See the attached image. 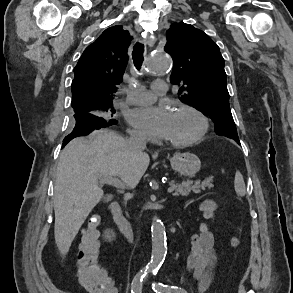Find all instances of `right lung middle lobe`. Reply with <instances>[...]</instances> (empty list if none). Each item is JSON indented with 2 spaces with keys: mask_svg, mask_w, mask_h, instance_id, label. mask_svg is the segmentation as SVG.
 I'll list each match as a JSON object with an SVG mask.
<instances>
[{
  "mask_svg": "<svg viewBox=\"0 0 293 293\" xmlns=\"http://www.w3.org/2000/svg\"><path fill=\"white\" fill-rule=\"evenodd\" d=\"M92 109L96 112V115L106 119H111L115 113L113 102L97 103L92 106Z\"/></svg>",
  "mask_w": 293,
  "mask_h": 293,
  "instance_id": "dd1d6c3e",
  "label": "right lung middle lobe"
}]
</instances>
